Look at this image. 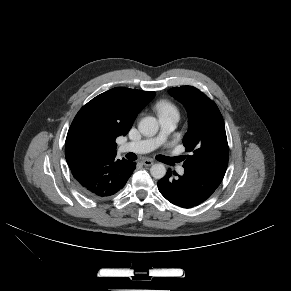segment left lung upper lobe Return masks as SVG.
Listing matches in <instances>:
<instances>
[{
  "label": "left lung upper lobe",
  "mask_w": 291,
  "mask_h": 291,
  "mask_svg": "<svg viewBox=\"0 0 291 291\" xmlns=\"http://www.w3.org/2000/svg\"><path fill=\"white\" fill-rule=\"evenodd\" d=\"M188 111L189 128L183 138L187 156L183 166L193 167L223 178L228 165L229 148L222 115L204 93L192 86L170 89Z\"/></svg>",
  "instance_id": "5c2ea615"
}]
</instances>
